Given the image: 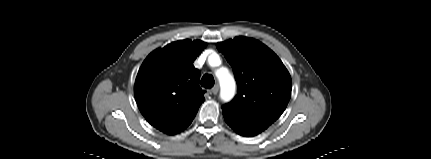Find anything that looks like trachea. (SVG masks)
<instances>
[{
    "instance_id": "1",
    "label": "trachea",
    "mask_w": 431,
    "mask_h": 159,
    "mask_svg": "<svg viewBox=\"0 0 431 159\" xmlns=\"http://www.w3.org/2000/svg\"><path fill=\"white\" fill-rule=\"evenodd\" d=\"M214 78L211 74H205L201 79V86L204 88H212L214 86Z\"/></svg>"
}]
</instances>
